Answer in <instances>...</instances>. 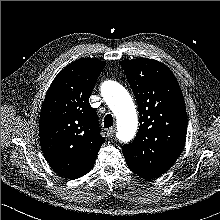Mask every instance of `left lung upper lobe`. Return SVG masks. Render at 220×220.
<instances>
[{"label":"left lung upper lobe","instance_id":"1","mask_svg":"<svg viewBox=\"0 0 220 220\" xmlns=\"http://www.w3.org/2000/svg\"><path fill=\"white\" fill-rule=\"evenodd\" d=\"M138 103L140 126L133 143L122 147L133 172L160 175L181 154L187 134V113L171 70L153 59L120 62Z\"/></svg>","mask_w":220,"mask_h":220}]
</instances>
